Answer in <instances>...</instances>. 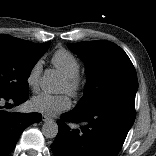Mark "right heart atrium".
<instances>
[{
    "label": "right heart atrium",
    "instance_id": "right-heart-atrium-1",
    "mask_svg": "<svg viewBox=\"0 0 156 156\" xmlns=\"http://www.w3.org/2000/svg\"><path fill=\"white\" fill-rule=\"evenodd\" d=\"M41 72L42 62L38 60L31 66L27 73L26 83L33 91H37L39 88Z\"/></svg>",
    "mask_w": 156,
    "mask_h": 156
}]
</instances>
